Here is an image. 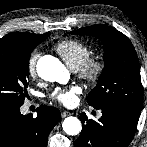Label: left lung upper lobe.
Masks as SVG:
<instances>
[{
	"mask_svg": "<svg viewBox=\"0 0 147 147\" xmlns=\"http://www.w3.org/2000/svg\"><path fill=\"white\" fill-rule=\"evenodd\" d=\"M99 38L104 48V70L87 97L96 109L118 107L140 116L143 105L140 66L136 51L123 33L98 24L71 31Z\"/></svg>",
	"mask_w": 147,
	"mask_h": 147,
	"instance_id": "1",
	"label": "left lung upper lobe"
}]
</instances>
